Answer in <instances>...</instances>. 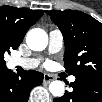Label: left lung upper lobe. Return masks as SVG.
Segmentation results:
<instances>
[{
    "label": "left lung upper lobe",
    "instance_id": "1",
    "mask_svg": "<svg viewBox=\"0 0 102 102\" xmlns=\"http://www.w3.org/2000/svg\"><path fill=\"white\" fill-rule=\"evenodd\" d=\"M64 37V67L76 78L102 81V24L80 11H46Z\"/></svg>",
    "mask_w": 102,
    "mask_h": 102
}]
</instances>
